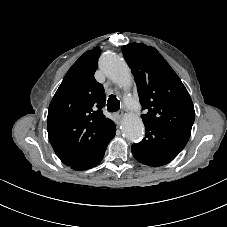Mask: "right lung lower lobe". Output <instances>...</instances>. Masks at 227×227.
<instances>
[{
	"label": "right lung lower lobe",
	"instance_id": "98d812e1",
	"mask_svg": "<svg viewBox=\"0 0 227 227\" xmlns=\"http://www.w3.org/2000/svg\"><path fill=\"white\" fill-rule=\"evenodd\" d=\"M116 127L113 124L107 135V141L104 146L93 157L87 158L70 166L74 170H86L96 166L102 159L109 141L115 136Z\"/></svg>",
	"mask_w": 227,
	"mask_h": 227
}]
</instances>
